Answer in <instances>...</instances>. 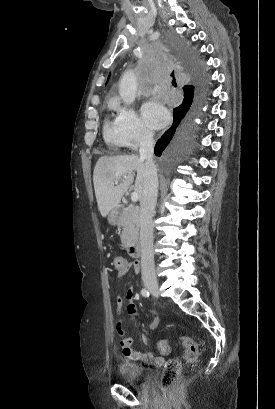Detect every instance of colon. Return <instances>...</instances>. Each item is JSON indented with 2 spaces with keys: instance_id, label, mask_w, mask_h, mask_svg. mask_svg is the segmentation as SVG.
Segmentation results:
<instances>
[{
  "instance_id": "colon-1",
  "label": "colon",
  "mask_w": 275,
  "mask_h": 409,
  "mask_svg": "<svg viewBox=\"0 0 275 409\" xmlns=\"http://www.w3.org/2000/svg\"><path fill=\"white\" fill-rule=\"evenodd\" d=\"M115 264L118 268L119 274L125 273L126 263L124 262L123 256H116L115 257ZM131 311V310H129ZM176 343L184 348V355L183 359L186 362H195L199 355V349L196 344L191 338L187 335H181L176 340ZM173 342H169L168 340H160L158 342V347L161 353H168L170 348L172 347ZM181 376V361L178 359H170L164 366L163 375L161 378V386L163 388H167L176 384Z\"/></svg>"
}]
</instances>
